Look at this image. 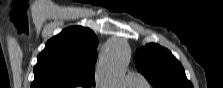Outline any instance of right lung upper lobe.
<instances>
[{
	"label": "right lung upper lobe",
	"instance_id": "right-lung-upper-lobe-1",
	"mask_svg": "<svg viewBox=\"0 0 223 88\" xmlns=\"http://www.w3.org/2000/svg\"><path fill=\"white\" fill-rule=\"evenodd\" d=\"M98 40L89 28L72 26L50 39L38 55L31 88L95 86Z\"/></svg>",
	"mask_w": 223,
	"mask_h": 88
}]
</instances>
